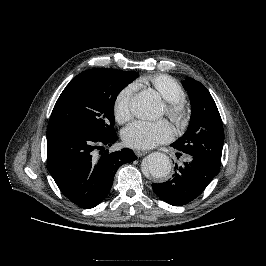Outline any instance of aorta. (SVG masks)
Wrapping results in <instances>:
<instances>
[{
  "instance_id": "1",
  "label": "aorta",
  "mask_w": 266,
  "mask_h": 266,
  "mask_svg": "<svg viewBox=\"0 0 266 266\" xmlns=\"http://www.w3.org/2000/svg\"><path fill=\"white\" fill-rule=\"evenodd\" d=\"M130 109L137 118H156L161 113V101L156 93L143 91L133 97L130 102ZM144 167L155 178L166 177L171 172L169 157L160 152L149 154Z\"/></svg>"
}]
</instances>
